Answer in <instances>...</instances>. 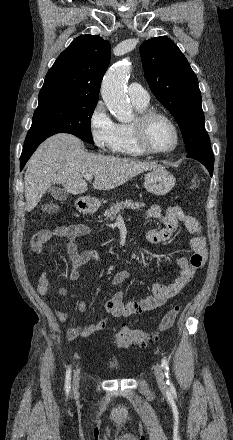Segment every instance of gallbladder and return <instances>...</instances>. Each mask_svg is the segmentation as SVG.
Instances as JSON below:
<instances>
[{"mask_svg":"<svg viewBox=\"0 0 233 440\" xmlns=\"http://www.w3.org/2000/svg\"><path fill=\"white\" fill-rule=\"evenodd\" d=\"M49 193L54 199L59 201H65L69 197V193L65 189L56 186H51Z\"/></svg>","mask_w":233,"mask_h":440,"instance_id":"bac80fb5","label":"gallbladder"}]
</instances>
